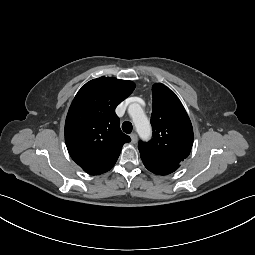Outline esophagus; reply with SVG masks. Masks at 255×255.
<instances>
[{
    "label": "esophagus",
    "mask_w": 255,
    "mask_h": 255,
    "mask_svg": "<svg viewBox=\"0 0 255 255\" xmlns=\"http://www.w3.org/2000/svg\"><path fill=\"white\" fill-rule=\"evenodd\" d=\"M130 137L133 144L137 143L138 137L136 133H132Z\"/></svg>",
    "instance_id": "obj_1"
}]
</instances>
